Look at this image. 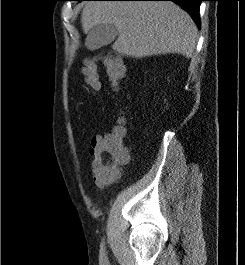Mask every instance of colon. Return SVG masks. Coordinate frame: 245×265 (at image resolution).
I'll list each match as a JSON object with an SVG mask.
<instances>
[{"label":"colon","mask_w":245,"mask_h":265,"mask_svg":"<svg viewBox=\"0 0 245 265\" xmlns=\"http://www.w3.org/2000/svg\"><path fill=\"white\" fill-rule=\"evenodd\" d=\"M100 58L104 62L112 85L117 87L125 74V68L121 59L113 55H106ZM96 61L97 58L88 59L83 67L85 81L94 92L98 91L101 87ZM124 136L125 130L122 126L115 128L111 133L104 136L103 143L96 150L92 158L93 167L112 179L118 175L120 166L128 159Z\"/></svg>","instance_id":"1"}]
</instances>
